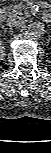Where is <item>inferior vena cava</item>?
Masks as SVG:
<instances>
[{
	"instance_id": "1",
	"label": "inferior vena cava",
	"mask_w": 51,
	"mask_h": 153,
	"mask_svg": "<svg viewBox=\"0 0 51 153\" xmlns=\"http://www.w3.org/2000/svg\"><path fill=\"white\" fill-rule=\"evenodd\" d=\"M26 23V20L22 16H11L7 19V25L13 28H20Z\"/></svg>"
}]
</instances>
